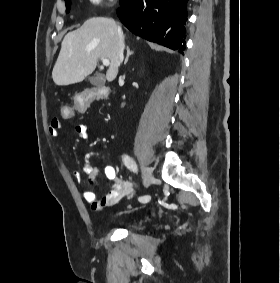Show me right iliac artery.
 I'll return each instance as SVG.
<instances>
[{"mask_svg":"<svg viewBox=\"0 0 280 283\" xmlns=\"http://www.w3.org/2000/svg\"><path fill=\"white\" fill-rule=\"evenodd\" d=\"M123 162H124L125 166L128 169H130L131 171H133V172L137 171L136 163L128 155L123 156ZM138 200H139L140 203H147L150 200V196H148V195L140 196L138 198Z\"/></svg>","mask_w":280,"mask_h":283,"instance_id":"right-iliac-artery-1","label":"right iliac artery"}]
</instances>
